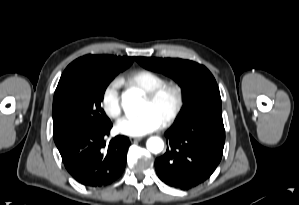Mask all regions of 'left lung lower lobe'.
I'll list each match as a JSON object with an SVG mask.
<instances>
[{
  "instance_id": "left-lung-lower-lobe-1",
  "label": "left lung lower lobe",
  "mask_w": 299,
  "mask_h": 205,
  "mask_svg": "<svg viewBox=\"0 0 299 205\" xmlns=\"http://www.w3.org/2000/svg\"><path fill=\"white\" fill-rule=\"evenodd\" d=\"M165 136L169 147L155 161L158 177L178 189L193 188L211 176L222 158L225 143L222 113L174 122Z\"/></svg>"
}]
</instances>
